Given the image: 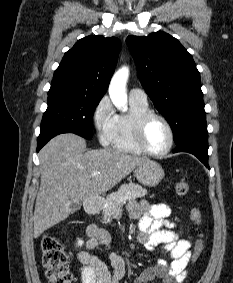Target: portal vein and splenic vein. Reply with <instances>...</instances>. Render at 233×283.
<instances>
[{
	"label": "portal vein and splenic vein",
	"instance_id": "1",
	"mask_svg": "<svg viewBox=\"0 0 233 283\" xmlns=\"http://www.w3.org/2000/svg\"><path fill=\"white\" fill-rule=\"evenodd\" d=\"M99 174H100V172L94 171V172L91 173V176H97V175H99ZM126 199H127V197L124 196V197H121V198H120V201H124V200H126Z\"/></svg>",
	"mask_w": 233,
	"mask_h": 283
}]
</instances>
